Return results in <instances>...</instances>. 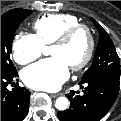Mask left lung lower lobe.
<instances>
[{"label": "left lung lower lobe", "mask_w": 121, "mask_h": 121, "mask_svg": "<svg viewBox=\"0 0 121 121\" xmlns=\"http://www.w3.org/2000/svg\"><path fill=\"white\" fill-rule=\"evenodd\" d=\"M119 80L92 78L80 81L83 95L67 94L70 108L57 113L60 121H99L114 104L119 93ZM79 93V92H77Z\"/></svg>", "instance_id": "0a47b994"}]
</instances>
